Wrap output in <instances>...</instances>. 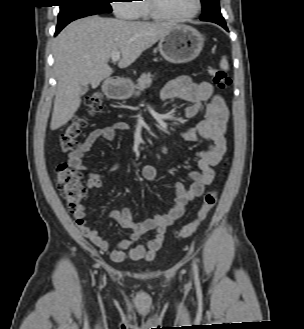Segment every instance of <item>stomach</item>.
Returning <instances> with one entry per match:
<instances>
[{"label": "stomach", "mask_w": 304, "mask_h": 329, "mask_svg": "<svg viewBox=\"0 0 304 329\" xmlns=\"http://www.w3.org/2000/svg\"><path fill=\"white\" fill-rule=\"evenodd\" d=\"M203 46L204 38L196 29L176 25L160 39L158 49L165 60L179 64L195 59ZM103 92L112 99H127L133 93V84L126 79L109 81L103 86Z\"/></svg>", "instance_id": "0dacf381"}]
</instances>
